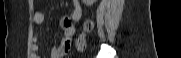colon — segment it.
<instances>
[{
  "label": "colon",
  "mask_w": 181,
  "mask_h": 58,
  "mask_svg": "<svg viewBox=\"0 0 181 58\" xmlns=\"http://www.w3.org/2000/svg\"><path fill=\"white\" fill-rule=\"evenodd\" d=\"M91 23L89 21L85 22L84 28H83V33L78 36L75 41L74 45L78 50H83L85 47V35L88 31L91 29ZM72 44V41H71Z\"/></svg>",
  "instance_id": "1"
}]
</instances>
